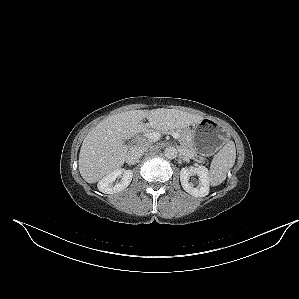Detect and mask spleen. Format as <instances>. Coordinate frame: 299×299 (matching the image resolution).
<instances>
[{"mask_svg": "<svg viewBox=\"0 0 299 299\" xmlns=\"http://www.w3.org/2000/svg\"><path fill=\"white\" fill-rule=\"evenodd\" d=\"M235 159V144L233 141H229L212 160L209 177L212 186H217L226 179L228 171L234 166Z\"/></svg>", "mask_w": 299, "mask_h": 299, "instance_id": "1", "label": "spleen"}]
</instances>
